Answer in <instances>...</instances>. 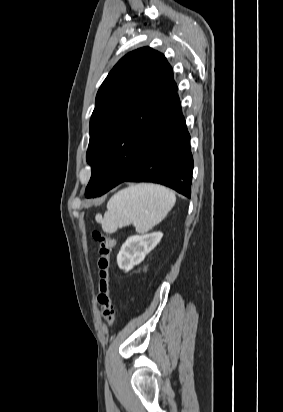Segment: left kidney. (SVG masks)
I'll use <instances>...</instances> for the list:
<instances>
[{"instance_id":"left-kidney-1","label":"left kidney","mask_w":283,"mask_h":412,"mask_svg":"<svg viewBox=\"0 0 283 412\" xmlns=\"http://www.w3.org/2000/svg\"><path fill=\"white\" fill-rule=\"evenodd\" d=\"M163 237L161 232H152L145 235H134L129 237L122 245L118 255L117 264L125 272L140 264Z\"/></svg>"}]
</instances>
